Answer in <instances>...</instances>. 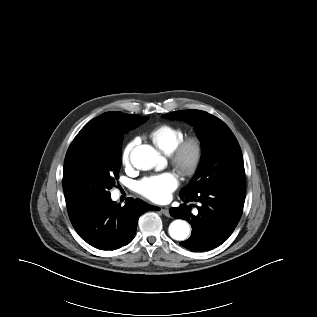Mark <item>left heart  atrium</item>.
<instances>
[{"instance_id": "1", "label": "left heart atrium", "mask_w": 317, "mask_h": 317, "mask_svg": "<svg viewBox=\"0 0 317 317\" xmlns=\"http://www.w3.org/2000/svg\"><path fill=\"white\" fill-rule=\"evenodd\" d=\"M178 180L171 172L145 177L137 184L138 192L147 199L163 203L169 200L171 193L177 188Z\"/></svg>"}]
</instances>
